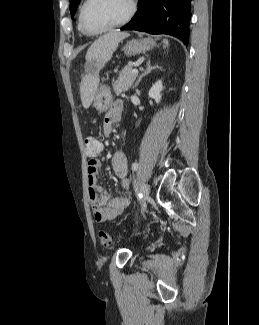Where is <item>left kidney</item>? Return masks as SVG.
Instances as JSON below:
<instances>
[{
    "instance_id": "5707ae66",
    "label": "left kidney",
    "mask_w": 259,
    "mask_h": 325,
    "mask_svg": "<svg viewBox=\"0 0 259 325\" xmlns=\"http://www.w3.org/2000/svg\"><path fill=\"white\" fill-rule=\"evenodd\" d=\"M162 90H163L162 81L159 80L151 87L148 95L149 97L153 98L156 103H159L162 97L161 94Z\"/></svg>"
}]
</instances>
